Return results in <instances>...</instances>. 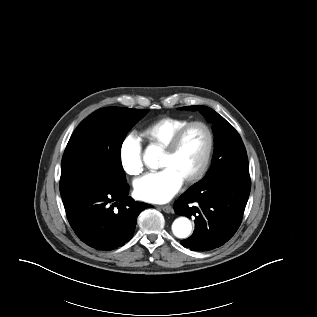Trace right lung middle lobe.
<instances>
[{
  "instance_id": "dd1d6c3e",
  "label": "right lung middle lobe",
  "mask_w": 317,
  "mask_h": 317,
  "mask_svg": "<svg viewBox=\"0 0 317 317\" xmlns=\"http://www.w3.org/2000/svg\"><path fill=\"white\" fill-rule=\"evenodd\" d=\"M148 110L98 109L71 136L61 163L60 194L64 198L82 184L103 176L125 181L120 151L128 131Z\"/></svg>"
}]
</instances>
